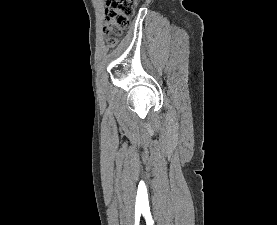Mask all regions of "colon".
<instances>
[{"label": "colon", "mask_w": 277, "mask_h": 225, "mask_svg": "<svg viewBox=\"0 0 277 225\" xmlns=\"http://www.w3.org/2000/svg\"><path fill=\"white\" fill-rule=\"evenodd\" d=\"M137 0H108L104 31L109 35L108 44L114 46L118 36L128 27Z\"/></svg>", "instance_id": "colon-1"}]
</instances>
